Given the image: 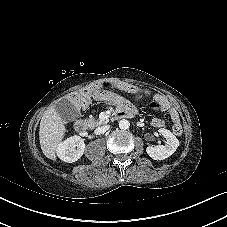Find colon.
<instances>
[{
  "instance_id": "colon-1",
  "label": "colon",
  "mask_w": 227,
  "mask_h": 227,
  "mask_svg": "<svg viewBox=\"0 0 227 227\" xmlns=\"http://www.w3.org/2000/svg\"><path fill=\"white\" fill-rule=\"evenodd\" d=\"M104 86L107 87V88H113L114 87V85L111 84V83H105ZM125 89L129 91V90H132V87L131 86H125ZM162 104H163V102L160 100V98L158 96H156L155 101L152 103V106L158 108ZM173 132L176 135H179L181 133V127H180L179 123H176V124L173 125Z\"/></svg>"
}]
</instances>
